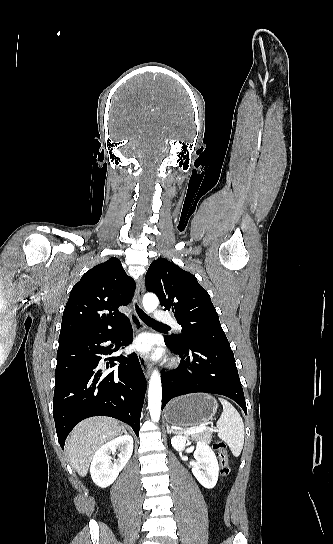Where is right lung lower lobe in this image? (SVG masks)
Here are the masks:
<instances>
[{"mask_svg": "<svg viewBox=\"0 0 333 544\" xmlns=\"http://www.w3.org/2000/svg\"><path fill=\"white\" fill-rule=\"evenodd\" d=\"M109 340L117 343L115 351L132 342L129 319L116 328L59 343L53 416L62 448L74 426L92 416L114 417L139 434L146 379L135 353L101 360L112 352L104 344ZM114 361L121 362L118 369L108 370Z\"/></svg>", "mask_w": 333, "mask_h": 544, "instance_id": "right-lung-lower-lobe-1", "label": "right lung lower lobe"}]
</instances>
